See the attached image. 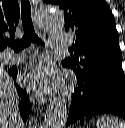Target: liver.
Returning a JSON list of instances; mask_svg holds the SVG:
<instances>
[{"label":"liver","mask_w":125,"mask_h":128,"mask_svg":"<svg viewBox=\"0 0 125 128\" xmlns=\"http://www.w3.org/2000/svg\"><path fill=\"white\" fill-rule=\"evenodd\" d=\"M18 95L12 79L0 71V128H22Z\"/></svg>","instance_id":"6515ba94"}]
</instances>
